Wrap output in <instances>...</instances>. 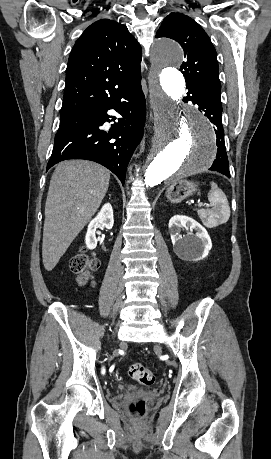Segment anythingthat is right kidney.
<instances>
[{"label":"right kidney","mask_w":271,"mask_h":459,"mask_svg":"<svg viewBox=\"0 0 271 459\" xmlns=\"http://www.w3.org/2000/svg\"><path fill=\"white\" fill-rule=\"evenodd\" d=\"M100 224L101 226H105L107 229L113 228L114 220L111 204H104L98 216H96V218H94V220H92L88 226L85 241L89 249H94V247L97 245L98 239L95 235V231L97 226H100Z\"/></svg>","instance_id":"right-kidney-1"}]
</instances>
